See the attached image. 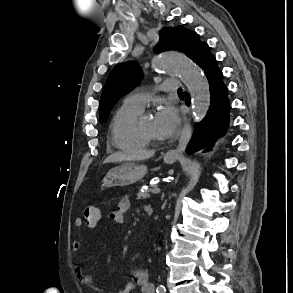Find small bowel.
<instances>
[{"instance_id":"1","label":"small bowel","mask_w":293,"mask_h":293,"mask_svg":"<svg viewBox=\"0 0 293 293\" xmlns=\"http://www.w3.org/2000/svg\"><path fill=\"white\" fill-rule=\"evenodd\" d=\"M130 209V200L127 197H123L118 200L116 208L109 214V218L115 223L122 224L125 222V216ZM83 222L81 219H76L75 226L81 227ZM90 226V225H88ZM93 227V226H90ZM81 247L80 241H74L72 244V250L78 251ZM76 276L82 282V284L93 288L98 293H112L104 288L98 286L93 279L87 275L81 266L76 267ZM132 282L129 283L124 289L118 290L115 293H133L135 289H138L139 293H154V285L150 282L148 273L143 269H135L131 273Z\"/></svg>"}]
</instances>
